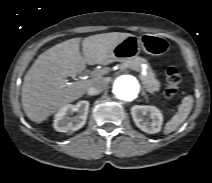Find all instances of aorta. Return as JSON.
<instances>
[{"instance_id": "1", "label": "aorta", "mask_w": 212, "mask_h": 183, "mask_svg": "<svg viewBox=\"0 0 212 183\" xmlns=\"http://www.w3.org/2000/svg\"><path fill=\"white\" fill-rule=\"evenodd\" d=\"M140 83L132 75H122L113 84V95L118 101H132L140 93Z\"/></svg>"}]
</instances>
